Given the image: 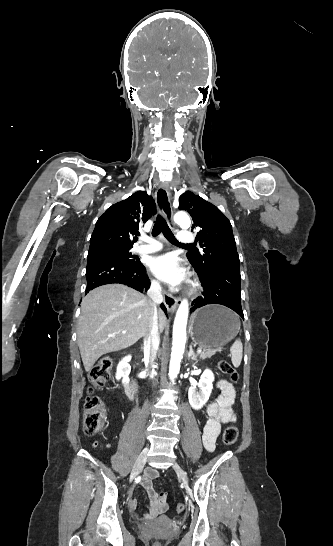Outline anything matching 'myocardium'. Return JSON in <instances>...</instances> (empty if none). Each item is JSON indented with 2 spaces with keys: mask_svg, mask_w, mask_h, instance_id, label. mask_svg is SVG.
<instances>
[{
  "mask_svg": "<svg viewBox=\"0 0 333 546\" xmlns=\"http://www.w3.org/2000/svg\"><path fill=\"white\" fill-rule=\"evenodd\" d=\"M198 288H199L198 283H197V282H194L193 285H192V287H191V289H190V293L196 292V291L198 290Z\"/></svg>",
  "mask_w": 333,
  "mask_h": 546,
  "instance_id": "1",
  "label": "myocardium"
}]
</instances>
